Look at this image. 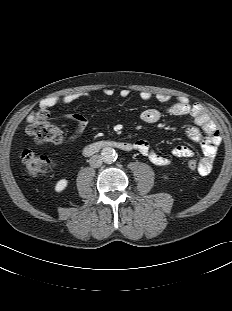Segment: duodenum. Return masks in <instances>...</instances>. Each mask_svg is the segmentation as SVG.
<instances>
[{
  "instance_id": "1",
  "label": "duodenum",
  "mask_w": 232,
  "mask_h": 311,
  "mask_svg": "<svg viewBox=\"0 0 232 311\" xmlns=\"http://www.w3.org/2000/svg\"><path fill=\"white\" fill-rule=\"evenodd\" d=\"M105 148H114L121 151H132L134 149V145L127 142L106 139L86 145L83 152L85 155L90 156Z\"/></svg>"
}]
</instances>
